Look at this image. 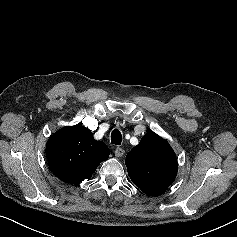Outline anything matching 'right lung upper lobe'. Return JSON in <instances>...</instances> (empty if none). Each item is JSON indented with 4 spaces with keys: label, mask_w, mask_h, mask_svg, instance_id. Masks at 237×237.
<instances>
[{
    "label": "right lung upper lobe",
    "mask_w": 237,
    "mask_h": 237,
    "mask_svg": "<svg viewBox=\"0 0 237 237\" xmlns=\"http://www.w3.org/2000/svg\"><path fill=\"white\" fill-rule=\"evenodd\" d=\"M109 154L105 143L95 140L92 132L81 125L63 127L50 136L46 145L50 170L70 184L89 179Z\"/></svg>",
    "instance_id": "right-lung-upper-lobe-1"
}]
</instances>
